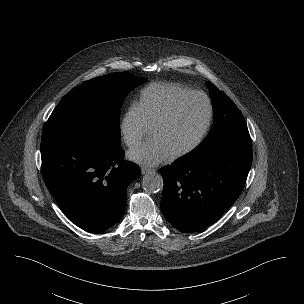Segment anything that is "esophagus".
I'll return each mask as SVG.
<instances>
[{
	"instance_id": "34e87169",
	"label": "esophagus",
	"mask_w": 304,
	"mask_h": 304,
	"mask_svg": "<svg viewBox=\"0 0 304 304\" xmlns=\"http://www.w3.org/2000/svg\"><path fill=\"white\" fill-rule=\"evenodd\" d=\"M153 171L152 168H148V167H141V172L142 174H147L149 172Z\"/></svg>"
}]
</instances>
